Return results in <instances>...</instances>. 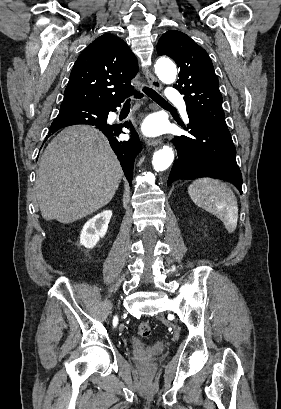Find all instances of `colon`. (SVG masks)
Listing matches in <instances>:
<instances>
[{
  "instance_id": "5ec220e1",
  "label": "colon",
  "mask_w": 281,
  "mask_h": 409,
  "mask_svg": "<svg viewBox=\"0 0 281 409\" xmlns=\"http://www.w3.org/2000/svg\"><path fill=\"white\" fill-rule=\"evenodd\" d=\"M151 331V325L149 323L143 322L137 326V332L141 336H148ZM147 368L152 369L155 366V361L150 360L147 364Z\"/></svg>"
}]
</instances>
